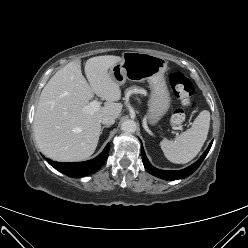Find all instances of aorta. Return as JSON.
<instances>
[{
  "label": "aorta",
  "instance_id": "aorta-1",
  "mask_svg": "<svg viewBox=\"0 0 248 248\" xmlns=\"http://www.w3.org/2000/svg\"><path fill=\"white\" fill-rule=\"evenodd\" d=\"M137 129L136 122L134 120L128 119L123 121L121 124V130L126 133H134Z\"/></svg>",
  "mask_w": 248,
  "mask_h": 248
}]
</instances>
